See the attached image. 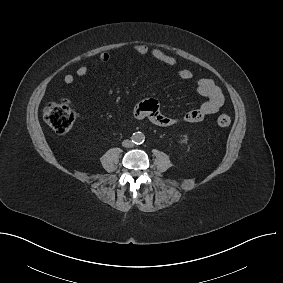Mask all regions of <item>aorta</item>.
I'll return each mask as SVG.
<instances>
[{
	"label": "aorta",
	"mask_w": 283,
	"mask_h": 283,
	"mask_svg": "<svg viewBox=\"0 0 283 283\" xmlns=\"http://www.w3.org/2000/svg\"><path fill=\"white\" fill-rule=\"evenodd\" d=\"M144 139L145 136L142 132H135L132 136V141L137 144L144 142Z\"/></svg>",
	"instance_id": "aorta-1"
}]
</instances>
